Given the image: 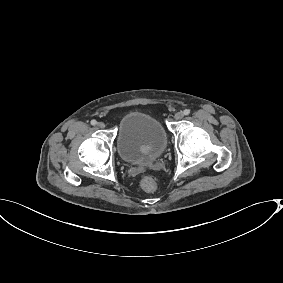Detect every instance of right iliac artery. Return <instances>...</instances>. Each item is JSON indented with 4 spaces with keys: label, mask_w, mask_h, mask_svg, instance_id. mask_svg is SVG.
<instances>
[{
    "label": "right iliac artery",
    "mask_w": 283,
    "mask_h": 283,
    "mask_svg": "<svg viewBox=\"0 0 283 283\" xmlns=\"http://www.w3.org/2000/svg\"><path fill=\"white\" fill-rule=\"evenodd\" d=\"M97 121L96 120H91V125H96Z\"/></svg>",
    "instance_id": "obj_1"
}]
</instances>
